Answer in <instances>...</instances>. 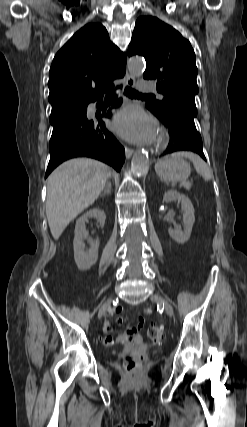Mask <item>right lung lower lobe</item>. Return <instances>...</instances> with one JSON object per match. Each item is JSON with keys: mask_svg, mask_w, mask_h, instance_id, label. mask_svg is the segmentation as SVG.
<instances>
[{"mask_svg": "<svg viewBox=\"0 0 247 427\" xmlns=\"http://www.w3.org/2000/svg\"><path fill=\"white\" fill-rule=\"evenodd\" d=\"M102 99V98H101ZM101 99L97 105L101 103ZM121 100L112 106L117 107ZM87 105L62 107L51 111L50 123L53 132L49 143L50 161L45 178L65 160L74 157H91L103 161L120 171L125 151L116 138L105 128V118L111 116L110 110L102 117H87Z\"/></svg>", "mask_w": 247, "mask_h": 427, "instance_id": "1", "label": "right lung lower lobe"}]
</instances>
